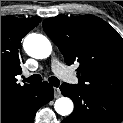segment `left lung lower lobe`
<instances>
[{"label": "left lung lower lobe", "instance_id": "left-lung-lower-lobe-1", "mask_svg": "<svg viewBox=\"0 0 123 123\" xmlns=\"http://www.w3.org/2000/svg\"><path fill=\"white\" fill-rule=\"evenodd\" d=\"M60 90L74 102L73 112L61 123H120L123 100L63 83Z\"/></svg>", "mask_w": 123, "mask_h": 123}]
</instances>
